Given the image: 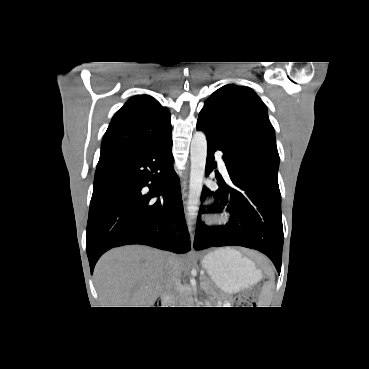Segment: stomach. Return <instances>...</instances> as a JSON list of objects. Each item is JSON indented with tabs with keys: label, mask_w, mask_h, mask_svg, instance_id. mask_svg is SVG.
Instances as JSON below:
<instances>
[{
	"label": "stomach",
	"mask_w": 369,
	"mask_h": 369,
	"mask_svg": "<svg viewBox=\"0 0 369 369\" xmlns=\"http://www.w3.org/2000/svg\"><path fill=\"white\" fill-rule=\"evenodd\" d=\"M202 265L218 288L229 294L256 284L262 276L254 262L230 248L208 253Z\"/></svg>",
	"instance_id": "0dacf381"
}]
</instances>
